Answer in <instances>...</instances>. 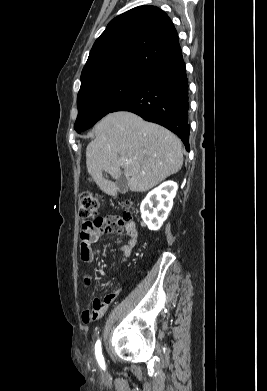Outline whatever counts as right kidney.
Here are the masks:
<instances>
[{
	"mask_svg": "<svg viewBox=\"0 0 267 391\" xmlns=\"http://www.w3.org/2000/svg\"><path fill=\"white\" fill-rule=\"evenodd\" d=\"M177 190L176 182L166 181L150 191L142 201L140 206L141 217L150 230L160 229L167 219Z\"/></svg>",
	"mask_w": 267,
	"mask_h": 391,
	"instance_id": "obj_1",
	"label": "right kidney"
}]
</instances>
